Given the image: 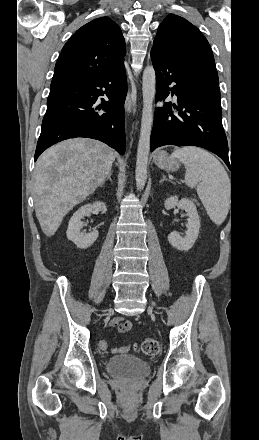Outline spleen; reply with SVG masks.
<instances>
[{
  "label": "spleen",
  "instance_id": "1",
  "mask_svg": "<svg viewBox=\"0 0 259 440\" xmlns=\"http://www.w3.org/2000/svg\"><path fill=\"white\" fill-rule=\"evenodd\" d=\"M186 168L185 182L197 187V194L210 219L217 225L225 220L230 206V179L223 165L208 151L182 147L173 151Z\"/></svg>",
  "mask_w": 259,
  "mask_h": 440
}]
</instances>
